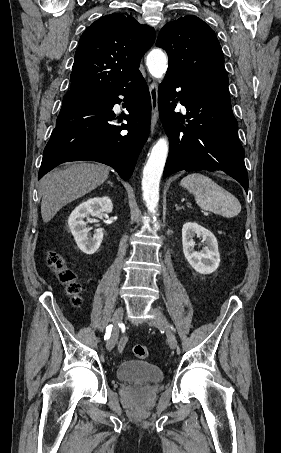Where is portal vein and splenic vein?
Returning a JSON list of instances; mask_svg holds the SVG:
<instances>
[{
	"label": "portal vein and splenic vein",
	"instance_id": "1",
	"mask_svg": "<svg viewBox=\"0 0 281 453\" xmlns=\"http://www.w3.org/2000/svg\"><path fill=\"white\" fill-rule=\"evenodd\" d=\"M201 212L205 214V217H208L209 213L208 212L206 213V210H202Z\"/></svg>",
	"mask_w": 281,
	"mask_h": 453
}]
</instances>
